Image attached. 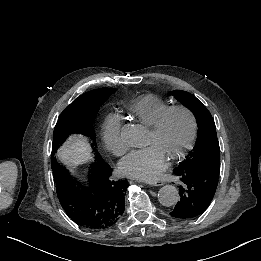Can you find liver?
I'll use <instances>...</instances> for the list:
<instances>
[{"label": "liver", "instance_id": "1", "mask_svg": "<svg viewBox=\"0 0 261 261\" xmlns=\"http://www.w3.org/2000/svg\"><path fill=\"white\" fill-rule=\"evenodd\" d=\"M90 153L91 147L85 138L70 137L69 141L62 147L58 155L63 161H67L70 158L78 156L88 159Z\"/></svg>", "mask_w": 261, "mask_h": 261}]
</instances>
